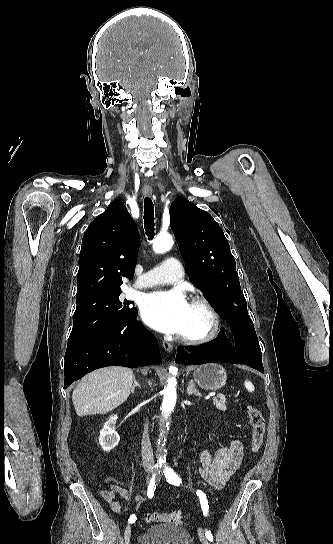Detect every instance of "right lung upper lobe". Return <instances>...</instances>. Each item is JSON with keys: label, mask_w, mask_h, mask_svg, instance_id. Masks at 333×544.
Masks as SVG:
<instances>
[{"label": "right lung upper lobe", "mask_w": 333, "mask_h": 544, "mask_svg": "<svg viewBox=\"0 0 333 544\" xmlns=\"http://www.w3.org/2000/svg\"><path fill=\"white\" fill-rule=\"evenodd\" d=\"M138 248L136 223L125 205L115 199L84 233L76 299L121 290L122 278L134 275Z\"/></svg>", "instance_id": "1"}]
</instances>
